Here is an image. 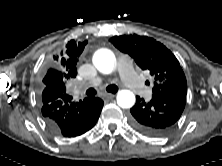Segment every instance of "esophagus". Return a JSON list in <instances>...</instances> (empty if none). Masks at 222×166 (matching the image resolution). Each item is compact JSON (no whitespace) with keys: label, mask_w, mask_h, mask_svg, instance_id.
<instances>
[{"label":"esophagus","mask_w":222,"mask_h":166,"mask_svg":"<svg viewBox=\"0 0 222 166\" xmlns=\"http://www.w3.org/2000/svg\"><path fill=\"white\" fill-rule=\"evenodd\" d=\"M105 97L108 98V99H112L115 97V94L114 93H108V94H105Z\"/></svg>","instance_id":"esophagus-1"}]
</instances>
